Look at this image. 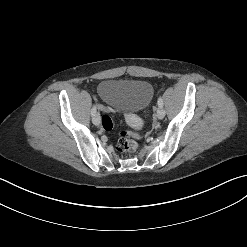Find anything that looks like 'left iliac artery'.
I'll return each mask as SVG.
<instances>
[{"label":"left iliac artery","mask_w":247,"mask_h":247,"mask_svg":"<svg viewBox=\"0 0 247 247\" xmlns=\"http://www.w3.org/2000/svg\"><path fill=\"white\" fill-rule=\"evenodd\" d=\"M157 103H158V106L159 107H163V100H162V97L161 96L158 98Z\"/></svg>","instance_id":"1"}]
</instances>
